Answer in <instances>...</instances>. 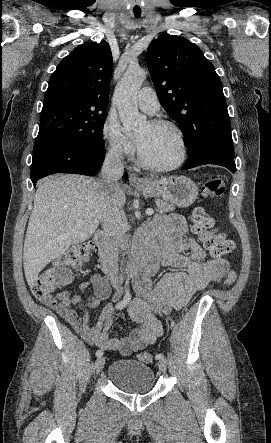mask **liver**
<instances>
[{"label": "liver", "instance_id": "6515ba94", "mask_svg": "<svg viewBox=\"0 0 271 443\" xmlns=\"http://www.w3.org/2000/svg\"><path fill=\"white\" fill-rule=\"evenodd\" d=\"M96 184L94 178L75 174H57L38 182L23 247L25 277L30 287L49 261L62 255L72 243L88 239L100 222L114 216L124 218L126 196L121 186L112 194V210Z\"/></svg>", "mask_w": 271, "mask_h": 443}]
</instances>
